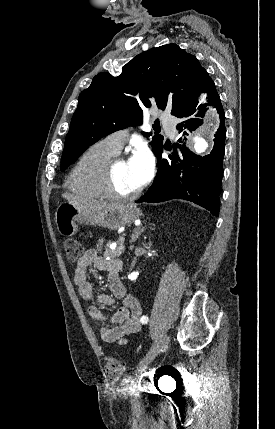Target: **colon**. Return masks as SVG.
I'll use <instances>...</instances> for the list:
<instances>
[{
  "label": "colon",
  "mask_w": 275,
  "mask_h": 429,
  "mask_svg": "<svg viewBox=\"0 0 275 429\" xmlns=\"http://www.w3.org/2000/svg\"><path fill=\"white\" fill-rule=\"evenodd\" d=\"M64 250L66 258L70 262H74L82 254L83 245L77 239L68 238L64 242ZM123 370L124 364L112 358L107 359L104 364L105 374L111 382H116L121 377Z\"/></svg>",
  "instance_id": "1"
}]
</instances>
